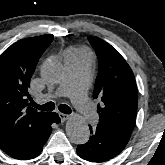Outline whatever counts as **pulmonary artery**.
Masks as SVG:
<instances>
[{"label": "pulmonary artery", "instance_id": "1", "mask_svg": "<svg viewBox=\"0 0 165 165\" xmlns=\"http://www.w3.org/2000/svg\"><path fill=\"white\" fill-rule=\"evenodd\" d=\"M64 63L67 68L66 79L54 93L47 94L44 100L68 96L85 121L93 124L97 121V115L86 96L90 78V58L85 54L66 55Z\"/></svg>", "mask_w": 165, "mask_h": 165}]
</instances>
